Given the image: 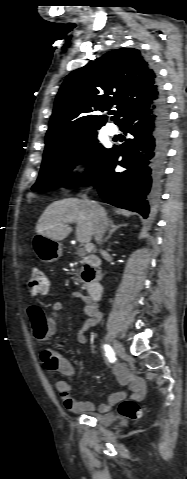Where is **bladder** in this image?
Segmentation results:
<instances>
[{"mask_svg": "<svg viewBox=\"0 0 187 479\" xmlns=\"http://www.w3.org/2000/svg\"><path fill=\"white\" fill-rule=\"evenodd\" d=\"M93 419H95L99 424L104 425V426H109L112 424L113 420L106 416V415H101V414H92L90 415Z\"/></svg>", "mask_w": 187, "mask_h": 479, "instance_id": "obj_1", "label": "bladder"}]
</instances>
